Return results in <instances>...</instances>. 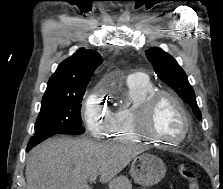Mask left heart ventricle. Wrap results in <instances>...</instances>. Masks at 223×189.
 <instances>
[{
  "label": "left heart ventricle",
  "instance_id": "left-heart-ventricle-1",
  "mask_svg": "<svg viewBox=\"0 0 223 189\" xmlns=\"http://www.w3.org/2000/svg\"><path fill=\"white\" fill-rule=\"evenodd\" d=\"M149 130L167 140H176L184 130V120L180 110L168 98L161 99L152 114Z\"/></svg>",
  "mask_w": 223,
  "mask_h": 189
}]
</instances>
